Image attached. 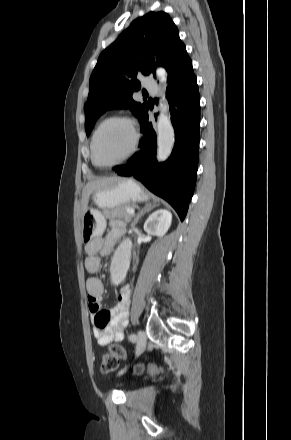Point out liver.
Listing matches in <instances>:
<instances>
[{"mask_svg":"<svg viewBox=\"0 0 291 440\" xmlns=\"http://www.w3.org/2000/svg\"><path fill=\"white\" fill-rule=\"evenodd\" d=\"M119 179H120L119 177L114 176V177H107V178H102V179H98V180H94V181L89 182L86 185L84 192H83V195H82L83 213H85L87 210L88 200H89V197L93 191L107 188V187L111 186L112 184H114Z\"/></svg>","mask_w":291,"mask_h":440,"instance_id":"6515ba94","label":"liver"}]
</instances>
